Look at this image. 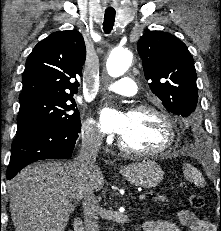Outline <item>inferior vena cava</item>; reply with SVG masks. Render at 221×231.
<instances>
[{"label": "inferior vena cava", "mask_w": 221, "mask_h": 231, "mask_svg": "<svg viewBox=\"0 0 221 231\" xmlns=\"http://www.w3.org/2000/svg\"><path fill=\"white\" fill-rule=\"evenodd\" d=\"M102 143L101 134L87 130L82 139V146L78 157L75 159V163L86 174H89L90 170L94 168V163L98 155L99 147ZM83 213L84 224L86 231H99L98 225V213L99 204L94 195V191L88 189L84 195Z\"/></svg>", "instance_id": "inferior-vena-cava-1"}]
</instances>
